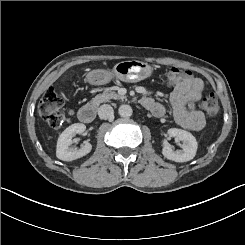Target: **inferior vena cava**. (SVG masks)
I'll use <instances>...</instances> for the list:
<instances>
[{
  "instance_id": "obj_1",
  "label": "inferior vena cava",
  "mask_w": 245,
  "mask_h": 245,
  "mask_svg": "<svg viewBox=\"0 0 245 245\" xmlns=\"http://www.w3.org/2000/svg\"><path fill=\"white\" fill-rule=\"evenodd\" d=\"M113 115V108L109 104H103L98 109V116L100 119H108Z\"/></svg>"
}]
</instances>
